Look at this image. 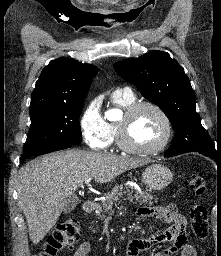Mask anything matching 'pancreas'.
Listing matches in <instances>:
<instances>
[{
    "instance_id": "1",
    "label": "pancreas",
    "mask_w": 221,
    "mask_h": 256,
    "mask_svg": "<svg viewBox=\"0 0 221 256\" xmlns=\"http://www.w3.org/2000/svg\"><path fill=\"white\" fill-rule=\"evenodd\" d=\"M123 195L128 196V201L132 203L149 204L152 205L156 198L150 194L149 190H146L143 194L138 191H134L132 187H126L125 190L123 185H116L111 192L105 195L104 200H102V205L97 207L96 215L99 218H104L105 214L112 209L113 204H116Z\"/></svg>"
}]
</instances>
